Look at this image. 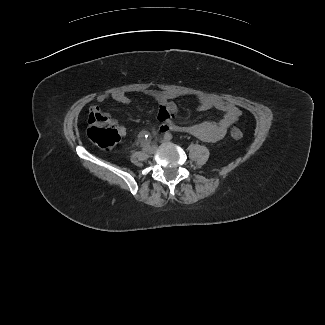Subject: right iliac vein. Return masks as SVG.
Wrapping results in <instances>:
<instances>
[{
  "label": "right iliac vein",
  "mask_w": 325,
  "mask_h": 325,
  "mask_svg": "<svg viewBox=\"0 0 325 325\" xmlns=\"http://www.w3.org/2000/svg\"><path fill=\"white\" fill-rule=\"evenodd\" d=\"M156 150H157V147H156L155 145H152V146H150V147L148 148L147 152H148L149 154H154V153L156 152Z\"/></svg>",
  "instance_id": "63e3f726"
}]
</instances>
